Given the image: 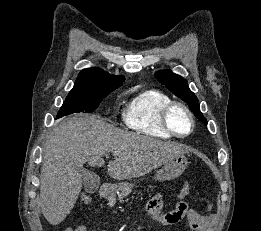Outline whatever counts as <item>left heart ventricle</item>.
I'll list each match as a JSON object with an SVG mask.
<instances>
[{"label":"left heart ventricle","instance_id":"left-heart-ventricle-1","mask_svg":"<svg viewBox=\"0 0 261 231\" xmlns=\"http://www.w3.org/2000/svg\"><path fill=\"white\" fill-rule=\"evenodd\" d=\"M172 128L179 134H186L191 128V122L187 113L181 108H175L170 114Z\"/></svg>","mask_w":261,"mask_h":231}]
</instances>
